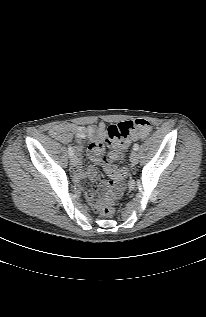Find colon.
<instances>
[{"mask_svg": "<svg viewBox=\"0 0 206 317\" xmlns=\"http://www.w3.org/2000/svg\"><path fill=\"white\" fill-rule=\"evenodd\" d=\"M151 123L145 119H135L123 121L118 124L111 125L107 131V142L116 151L115 157L103 156L104 162L107 164V172L111 178L108 187L112 188L113 196H118L124 186L125 169L115 167L112 159H120V152L126 148L133 139L147 137L151 132ZM105 188L103 189V191ZM99 212L104 216H110L114 212V207L109 199L98 207Z\"/></svg>", "mask_w": 206, "mask_h": 317, "instance_id": "colon-1", "label": "colon"}]
</instances>
